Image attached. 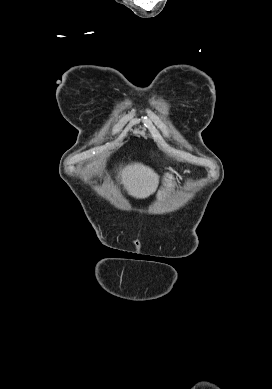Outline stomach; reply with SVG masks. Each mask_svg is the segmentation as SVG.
I'll return each mask as SVG.
<instances>
[{"mask_svg":"<svg viewBox=\"0 0 272 389\" xmlns=\"http://www.w3.org/2000/svg\"><path fill=\"white\" fill-rule=\"evenodd\" d=\"M175 178L171 173H166L164 176V185L158 193V199L166 198L175 188Z\"/></svg>","mask_w":272,"mask_h":389,"instance_id":"1","label":"stomach"}]
</instances>
